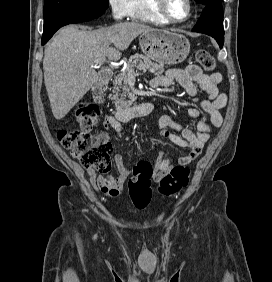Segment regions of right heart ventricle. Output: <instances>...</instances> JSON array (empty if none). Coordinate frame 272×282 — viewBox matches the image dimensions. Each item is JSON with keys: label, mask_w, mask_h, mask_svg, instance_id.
<instances>
[{"label": "right heart ventricle", "mask_w": 272, "mask_h": 282, "mask_svg": "<svg viewBox=\"0 0 272 282\" xmlns=\"http://www.w3.org/2000/svg\"><path fill=\"white\" fill-rule=\"evenodd\" d=\"M154 0H134L135 12L131 19L141 20L152 24H169L154 7Z\"/></svg>", "instance_id": "e07e8e85"}]
</instances>
